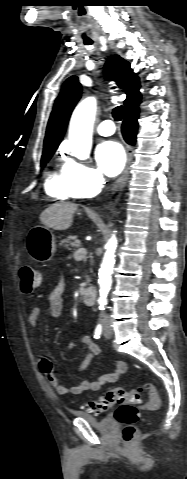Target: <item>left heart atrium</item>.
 <instances>
[{
	"label": "left heart atrium",
	"mask_w": 187,
	"mask_h": 479,
	"mask_svg": "<svg viewBox=\"0 0 187 479\" xmlns=\"http://www.w3.org/2000/svg\"><path fill=\"white\" fill-rule=\"evenodd\" d=\"M95 155L103 172L110 177L118 175L125 165V152L115 141L102 142Z\"/></svg>",
	"instance_id": "1"
}]
</instances>
